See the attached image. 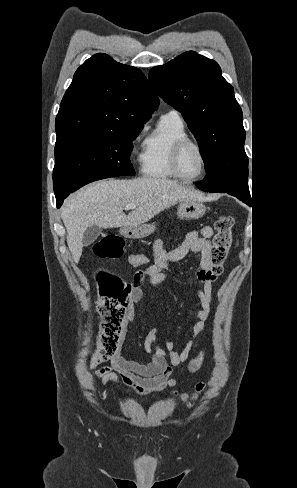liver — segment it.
<instances>
[{
    "label": "liver",
    "instance_id": "obj_1",
    "mask_svg": "<svg viewBox=\"0 0 297 488\" xmlns=\"http://www.w3.org/2000/svg\"><path fill=\"white\" fill-rule=\"evenodd\" d=\"M205 196L166 178L108 179L92 183L69 196L62 206L67 244L76 263L83 249L85 230L138 226L159 212L183 200H204ZM127 204L137 208L127 216Z\"/></svg>",
    "mask_w": 297,
    "mask_h": 488
}]
</instances>
